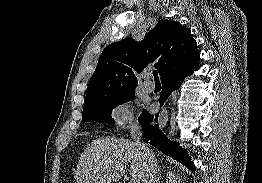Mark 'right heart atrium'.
<instances>
[{
	"mask_svg": "<svg viewBox=\"0 0 262 183\" xmlns=\"http://www.w3.org/2000/svg\"><path fill=\"white\" fill-rule=\"evenodd\" d=\"M109 119L117 129L134 128L137 126V118L133 104L130 100H121L115 103L109 110Z\"/></svg>",
	"mask_w": 262,
	"mask_h": 183,
	"instance_id": "right-heart-atrium-1",
	"label": "right heart atrium"
}]
</instances>
